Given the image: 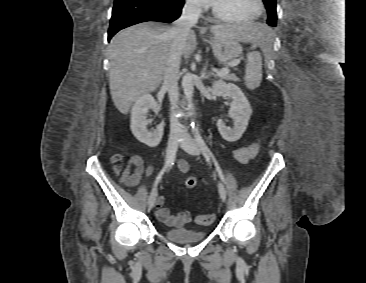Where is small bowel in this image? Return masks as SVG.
I'll return each instance as SVG.
<instances>
[{
	"label": "small bowel",
	"mask_w": 366,
	"mask_h": 283,
	"mask_svg": "<svg viewBox=\"0 0 366 283\" xmlns=\"http://www.w3.org/2000/svg\"><path fill=\"white\" fill-rule=\"evenodd\" d=\"M257 149L258 145L255 143L239 147L234 150L233 156L236 161L245 164L255 157ZM111 160L114 173L119 176L120 182L129 188L137 186L142 175L150 176L153 171L152 166H144L143 159L139 155L131 156L126 165H124L123 156L120 154L113 155ZM178 169L181 173H186L189 169L188 163L184 160L179 161ZM156 207L157 218L168 226L181 227L190 219L188 212L172 215L165 207L163 196L157 199Z\"/></svg>",
	"instance_id": "small-bowel-1"
}]
</instances>
